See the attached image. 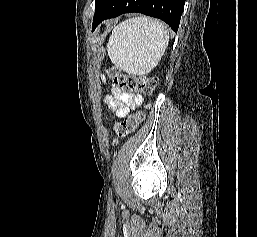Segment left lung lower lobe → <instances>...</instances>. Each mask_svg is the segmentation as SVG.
<instances>
[{
	"instance_id": "obj_1",
	"label": "left lung lower lobe",
	"mask_w": 257,
	"mask_h": 237,
	"mask_svg": "<svg viewBox=\"0 0 257 237\" xmlns=\"http://www.w3.org/2000/svg\"><path fill=\"white\" fill-rule=\"evenodd\" d=\"M185 0H108L93 19L92 30L103 20L124 13L138 12L165 21L173 31H177L184 9Z\"/></svg>"
}]
</instances>
